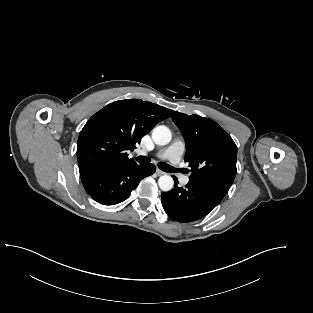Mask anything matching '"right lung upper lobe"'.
<instances>
[{"label":"right lung upper lobe","mask_w":313,"mask_h":313,"mask_svg":"<svg viewBox=\"0 0 313 313\" xmlns=\"http://www.w3.org/2000/svg\"><path fill=\"white\" fill-rule=\"evenodd\" d=\"M170 116L167 108L141 99L108 104L80 132L77 146L80 175L137 165L128 158L127 151L133 150L158 122Z\"/></svg>","instance_id":"cb5924a9"}]
</instances>
